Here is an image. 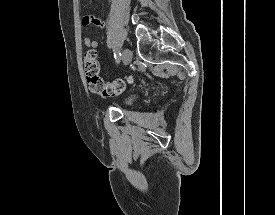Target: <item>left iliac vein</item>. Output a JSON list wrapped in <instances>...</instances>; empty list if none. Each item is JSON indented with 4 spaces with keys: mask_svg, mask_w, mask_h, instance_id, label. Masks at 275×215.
<instances>
[{
    "mask_svg": "<svg viewBox=\"0 0 275 215\" xmlns=\"http://www.w3.org/2000/svg\"><path fill=\"white\" fill-rule=\"evenodd\" d=\"M132 59V52L125 48L122 53V61L125 65H127Z\"/></svg>",
    "mask_w": 275,
    "mask_h": 215,
    "instance_id": "4c4485c4",
    "label": "left iliac vein"
}]
</instances>
